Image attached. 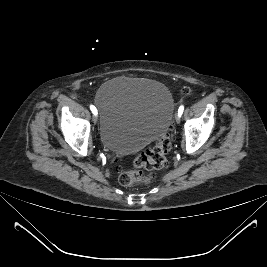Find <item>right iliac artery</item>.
<instances>
[{"instance_id": "82829eb1", "label": "right iliac artery", "mask_w": 267, "mask_h": 267, "mask_svg": "<svg viewBox=\"0 0 267 267\" xmlns=\"http://www.w3.org/2000/svg\"><path fill=\"white\" fill-rule=\"evenodd\" d=\"M90 109L93 112V114L95 115L97 114V109L93 105L90 106Z\"/></svg>"}]
</instances>
